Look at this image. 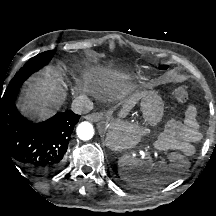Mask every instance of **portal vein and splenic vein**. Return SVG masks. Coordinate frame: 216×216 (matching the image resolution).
I'll return each instance as SVG.
<instances>
[{
	"label": "portal vein and splenic vein",
	"mask_w": 216,
	"mask_h": 216,
	"mask_svg": "<svg viewBox=\"0 0 216 216\" xmlns=\"http://www.w3.org/2000/svg\"><path fill=\"white\" fill-rule=\"evenodd\" d=\"M141 153H143L144 155H147V153H145V152H141Z\"/></svg>",
	"instance_id": "portal-vein-and-splenic-vein-1"
}]
</instances>
